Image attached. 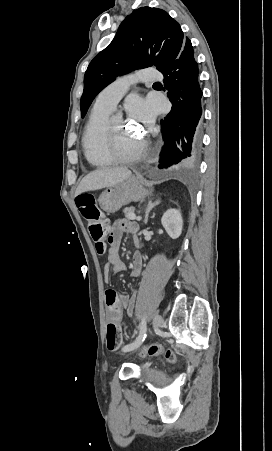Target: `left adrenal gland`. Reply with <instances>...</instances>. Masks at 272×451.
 Returning <instances> with one entry per match:
<instances>
[{
	"instance_id": "obj_1",
	"label": "left adrenal gland",
	"mask_w": 272,
	"mask_h": 451,
	"mask_svg": "<svg viewBox=\"0 0 272 451\" xmlns=\"http://www.w3.org/2000/svg\"><path fill=\"white\" fill-rule=\"evenodd\" d=\"M158 204H160V200H157V202H152V200H150V202H148V206H147L146 212H145L144 224H147V222H148L149 212H151L152 208H155V206H158Z\"/></svg>"
}]
</instances>
